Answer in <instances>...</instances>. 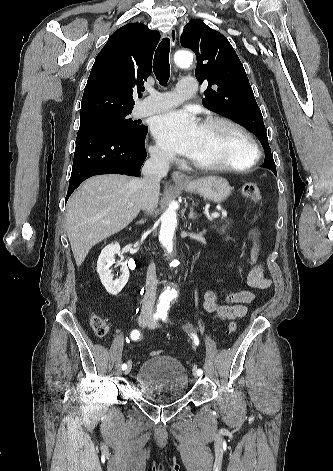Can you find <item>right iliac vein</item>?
<instances>
[{"label": "right iliac vein", "mask_w": 333, "mask_h": 471, "mask_svg": "<svg viewBox=\"0 0 333 471\" xmlns=\"http://www.w3.org/2000/svg\"><path fill=\"white\" fill-rule=\"evenodd\" d=\"M151 321V317L149 315H145V314H141L139 317H138V324L140 326H145L147 325L148 323H150ZM131 368H132V363L129 362L128 363V366L127 368L125 369V375H128L131 371Z\"/></svg>", "instance_id": "1"}]
</instances>
